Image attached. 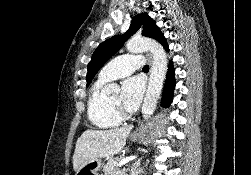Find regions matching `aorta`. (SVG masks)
<instances>
[{
    "mask_svg": "<svg viewBox=\"0 0 251 175\" xmlns=\"http://www.w3.org/2000/svg\"><path fill=\"white\" fill-rule=\"evenodd\" d=\"M126 48L131 54H139V52H151L152 54L149 84L142 103L143 117L148 119L156 107L163 88L168 66L166 52L161 44L150 38H131L128 40ZM107 89L119 88L117 84H108Z\"/></svg>",
    "mask_w": 251,
    "mask_h": 175,
    "instance_id": "762f6f07",
    "label": "aorta"
}]
</instances>
